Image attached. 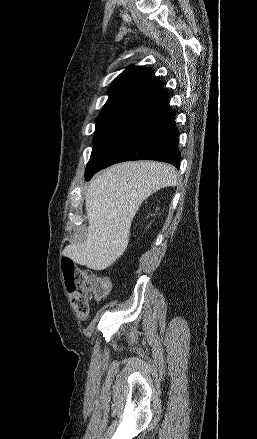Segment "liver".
I'll return each mask as SVG.
<instances>
[{
    "label": "liver",
    "mask_w": 257,
    "mask_h": 439,
    "mask_svg": "<svg viewBox=\"0 0 257 439\" xmlns=\"http://www.w3.org/2000/svg\"><path fill=\"white\" fill-rule=\"evenodd\" d=\"M176 183L175 169L154 161L120 163L97 174L85 196L89 223L85 240L65 247L63 255L93 270L111 266L127 248L142 202Z\"/></svg>",
    "instance_id": "6515ba94"
}]
</instances>
